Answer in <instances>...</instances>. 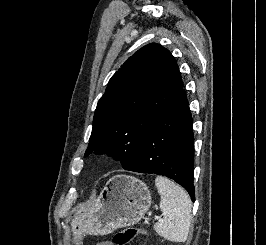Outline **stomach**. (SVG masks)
Listing matches in <instances>:
<instances>
[{
  "label": "stomach",
  "instance_id": "0dacf381",
  "mask_svg": "<svg viewBox=\"0 0 266 245\" xmlns=\"http://www.w3.org/2000/svg\"><path fill=\"white\" fill-rule=\"evenodd\" d=\"M151 203V193L143 181L115 175L107 181L92 209L75 213L71 223L73 245H81L85 235H109L116 229L137 225Z\"/></svg>",
  "mask_w": 266,
  "mask_h": 245
}]
</instances>
